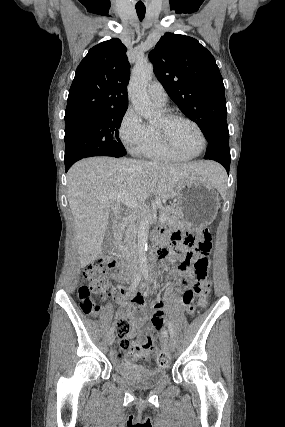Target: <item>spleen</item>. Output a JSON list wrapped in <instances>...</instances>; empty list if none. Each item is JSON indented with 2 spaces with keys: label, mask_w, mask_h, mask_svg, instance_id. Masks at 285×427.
<instances>
[{
  "label": "spleen",
  "mask_w": 285,
  "mask_h": 427,
  "mask_svg": "<svg viewBox=\"0 0 285 427\" xmlns=\"http://www.w3.org/2000/svg\"><path fill=\"white\" fill-rule=\"evenodd\" d=\"M226 180L227 176L224 170H218L216 172V182L214 187L217 188L220 192H223L226 189Z\"/></svg>",
  "instance_id": "3e777b00"
}]
</instances>
